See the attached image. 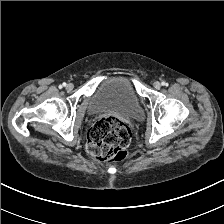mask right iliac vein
Here are the masks:
<instances>
[{"instance_id":"63e3f726","label":"right iliac vein","mask_w":224,"mask_h":224,"mask_svg":"<svg viewBox=\"0 0 224 224\" xmlns=\"http://www.w3.org/2000/svg\"><path fill=\"white\" fill-rule=\"evenodd\" d=\"M73 87H74L73 84L72 83H69V84H67L66 89L68 91H71L73 89Z\"/></svg>"}]
</instances>
